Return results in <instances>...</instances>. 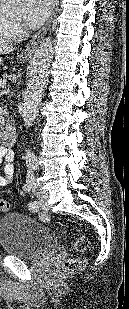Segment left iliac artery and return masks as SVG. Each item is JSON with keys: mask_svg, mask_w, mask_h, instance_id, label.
Listing matches in <instances>:
<instances>
[{"mask_svg": "<svg viewBox=\"0 0 129 309\" xmlns=\"http://www.w3.org/2000/svg\"><path fill=\"white\" fill-rule=\"evenodd\" d=\"M38 167V165L37 164H32V168L33 169H36ZM32 188V187H31ZM29 210H31V211H33V212H35V211H37L38 210V206H37V204L36 203H30L29 204ZM42 219H46L47 220V216H46V214H44V216L43 217H41Z\"/></svg>", "mask_w": 129, "mask_h": 309, "instance_id": "left-iliac-artery-1", "label": "left iliac artery"}]
</instances>
